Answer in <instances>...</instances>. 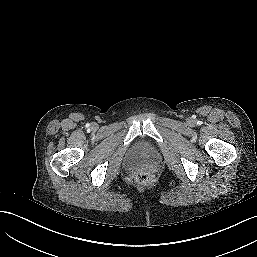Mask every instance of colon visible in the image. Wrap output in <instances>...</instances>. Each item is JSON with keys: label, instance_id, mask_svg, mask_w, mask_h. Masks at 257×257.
Instances as JSON below:
<instances>
[{"label": "colon", "instance_id": "obj_1", "mask_svg": "<svg viewBox=\"0 0 257 257\" xmlns=\"http://www.w3.org/2000/svg\"><path fill=\"white\" fill-rule=\"evenodd\" d=\"M153 175L149 172L142 171L136 175V181L140 185H148L152 182Z\"/></svg>", "mask_w": 257, "mask_h": 257}]
</instances>
